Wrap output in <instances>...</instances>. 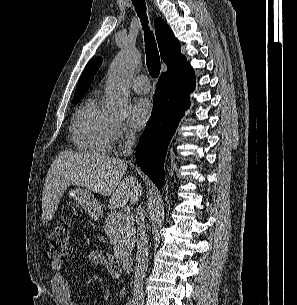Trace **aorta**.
Listing matches in <instances>:
<instances>
[{
    "mask_svg": "<svg viewBox=\"0 0 297 305\" xmlns=\"http://www.w3.org/2000/svg\"><path fill=\"white\" fill-rule=\"evenodd\" d=\"M141 62L139 52L124 47L113 60L106 82V106L115 114H125L130 93L129 80Z\"/></svg>",
    "mask_w": 297,
    "mask_h": 305,
    "instance_id": "1",
    "label": "aorta"
}]
</instances>
